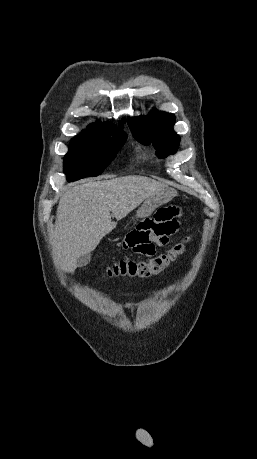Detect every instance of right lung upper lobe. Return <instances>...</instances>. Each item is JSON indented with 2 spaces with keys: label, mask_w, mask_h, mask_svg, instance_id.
<instances>
[{
  "label": "right lung upper lobe",
  "mask_w": 257,
  "mask_h": 459,
  "mask_svg": "<svg viewBox=\"0 0 257 459\" xmlns=\"http://www.w3.org/2000/svg\"><path fill=\"white\" fill-rule=\"evenodd\" d=\"M123 123H125V119H123V121L119 123V128H116L114 125L111 124H107V126L104 124L90 125L86 131L91 133H109L115 131H122Z\"/></svg>",
  "instance_id": "obj_1"
}]
</instances>
